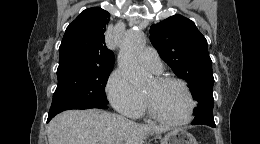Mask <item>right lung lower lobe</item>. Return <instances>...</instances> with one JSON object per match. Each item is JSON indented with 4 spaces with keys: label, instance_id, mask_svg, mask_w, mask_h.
I'll list each match as a JSON object with an SVG mask.
<instances>
[{
    "label": "right lung lower lobe",
    "instance_id": "right-lung-lower-lobe-1",
    "mask_svg": "<svg viewBox=\"0 0 260 144\" xmlns=\"http://www.w3.org/2000/svg\"><path fill=\"white\" fill-rule=\"evenodd\" d=\"M93 108H100V109H107L108 107H107V105H99V106H95V107H93ZM53 117H48V121L49 120H51Z\"/></svg>",
    "mask_w": 260,
    "mask_h": 144
}]
</instances>
